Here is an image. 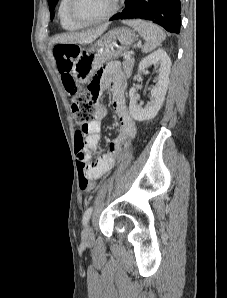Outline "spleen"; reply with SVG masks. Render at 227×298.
I'll use <instances>...</instances> for the list:
<instances>
[{"label": "spleen", "instance_id": "obj_1", "mask_svg": "<svg viewBox=\"0 0 227 298\" xmlns=\"http://www.w3.org/2000/svg\"><path fill=\"white\" fill-rule=\"evenodd\" d=\"M124 23L138 31L140 36L145 40V44L142 47V51L144 53L153 51L166 38L164 31L159 26L151 22L137 19L127 20L124 21Z\"/></svg>", "mask_w": 227, "mask_h": 298}]
</instances>
